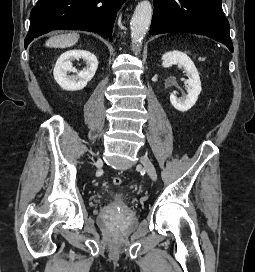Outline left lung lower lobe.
<instances>
[{"label":"left lung lower lobe","instance_id":"obj_1","mask_svg":"<svg viewBox=\"0 0 255 272\" xmlns=\"http://www.w3.org/2000/svg\"><path fill=\"white\" fill-rule=\"evenodd\" d=\"M154 13L149 33L173 32L205 35L233 52L229 22L221 0H153Z\"/></svg>","mask_w":255,"mask_h":272}]
</instances>
